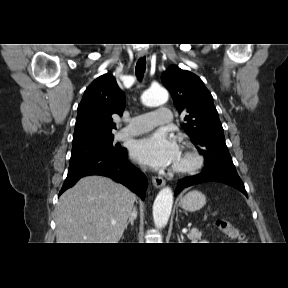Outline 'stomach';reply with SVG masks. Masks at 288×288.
<instances>
[{
    "mask_svg": "<svg viewBox=\"0 0 288 288\" xmlns=\"http://www.w3.org/2000/svg\"><path fill=\"white\" fill-rule=\"evenodd\" d=\"M180 207L185 211L195 212L206 204V197L203 193L193 190L188 192L179 202Z\"/></svg>",
    "mask_w": 288,
    "mask_h": 288,
    "instance_id": "0dacf381",
    "label": "stomach"
}]
</instances>
